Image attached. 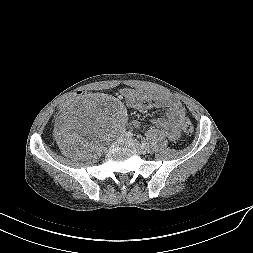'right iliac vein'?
Returning a JSON list of instances; mask_svg holds the SVG:
<instances>
[{
    "label": "right iliac vein",
    "mask_w": 253,
    "mask_h": 253,
    "mask_svg": "<svg viewBox=\"0 0 253 253\" xmlns=\"http://www.w3.org/2000/svg\"><path fill=\"white\" fill-rule=\"evenodd\" d=\"M125 138L123 135L117 138L116 142L113 144V146H118L124 142Z\"/></svg>",
    "instance_id": "right-iliac-vein-1"
}]
</instances>
